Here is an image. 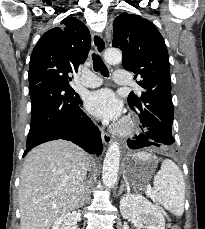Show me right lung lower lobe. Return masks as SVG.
<instances>
[{"instance_id":"1","label":"right lung lower lobe","mask_w":205,"mask_h":229,"mask_svg":"<svg viewBox=\"0 0 205 229\" xmlns=\"http://www.w3.org/2000/svg\"><path fill=\"white\" fill-rule=\"evenodd\" d=\"M29 89L31 125L23 156L41 143L60 138L89 153H102L100 131L80 108L82 101L71 86L45 81Z\"/></svg>"}]
</instances>
